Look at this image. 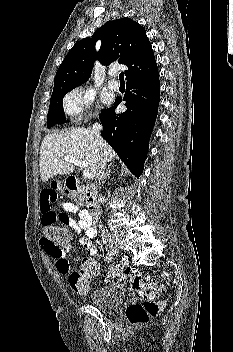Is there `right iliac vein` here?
Listing matches in <instances>:
<instances>
[{"label": "right iliac vein", "instance_id": "63e3f726", "mask_svg": "<svg viewBox=\"0 0 233 352\" xmlns=\"http://www.w3.org/2000/svg\"><path fill=\"white\" fill-rule=\"evenodd\" d=\"M120 247L118 245H111L109 248H108V253L113 255V254H116L118 253Z\"/></svg>", "mask_w": 233, "mask_h": 352}]
</instances>
